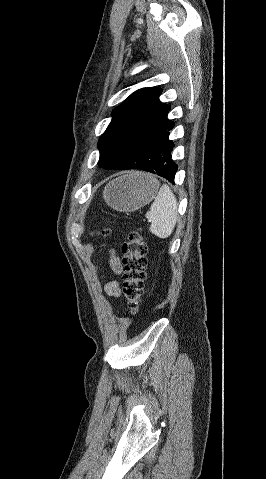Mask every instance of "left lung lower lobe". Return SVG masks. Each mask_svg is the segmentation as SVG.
Returning <instances> with one entry per match:
<instances>
[{"label":"left lung lower lobe","instance_id":"left-lung-lower-lobe-1","mask_svg":"<svg viewBox=\"0 0 266 479\" xmlns=\"http://www.w3.org/2000/svg\"><path fill=\"white\" fill-rule=\"evenodd\" d=\"M174 127V122L167 119L163 135L158 144V153L153 159L142 161L138 169L157 174L174 183V176L177 172V164L172 160L171 152L174 144L169 140L170 131ZM132 169V168H131ZM134 169V168H133Z\"/></svg>","mask_w":266,"mask_h":479}]
</instances>
